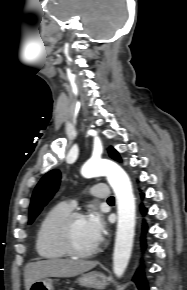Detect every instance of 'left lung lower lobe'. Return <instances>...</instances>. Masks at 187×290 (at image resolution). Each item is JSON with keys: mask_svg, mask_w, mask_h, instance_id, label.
I'll list each match as a JSON object with an SVG mask.
<instances>
[{"mask_svg": "<svg viewBox=\"0 0 187 290\" xmlns=\"http://www.w3.org/2000/svg\"><path fill=\"white\" fill-rule=\"evenodd\" d=\"M143 196V194H142ZM142 212H146L147 210L144 209L143 207L141 208ZM145 244L143 243V246ZM133 280L135 281V283L137 284V287L139 290H148V285H147V282L145 280V277L143 275V272L142 271H138L135 276L133 277Z\"/></svg>", "mask_w": 187, "mask_h": 290, "instance_id": "obj_1", "label": "left lung lower lobe"}]
</instances>
